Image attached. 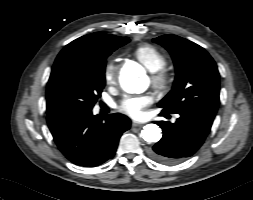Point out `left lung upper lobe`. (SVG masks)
I'll return each mask as SVG.
<instances>
[{"instance_id": "1", "label": "left lung upper lobe", "mask_w": 253, "mask_h": 200, "mask_svg": "<svg viewBox=\"0 0 253 200\" xmlns=\"http://www.w3.org/2000/svg\"><path fill=\"white\" fill-rule=\"evenodd\" d=\"M171 54L176 78L159 106L167 113L207 111L216 114L220 81L216 63L201 46L175 35L153 39Z\"/></svg>"}]
</instances>
